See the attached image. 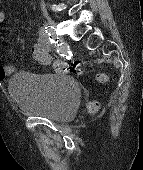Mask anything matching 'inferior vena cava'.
I'll return each instance as SVG.
<instances>
[{
    "label": "inferior vena cava",
    "mask_w": 143,
    "mask_h": 170,
    "mask_svg": "<svg viewBox=\"0 0 143 170\" xmlns=\"http://www.w3.org/2000/svg\"><path fill=\"white\" fill-rule=\"evenodd\" d=\"M41 6H42L43 9L45 8V4H44L43 0H42V3H41Z\"/></svg>",
    "instance_id": "obj_1"
}]
</instances>
